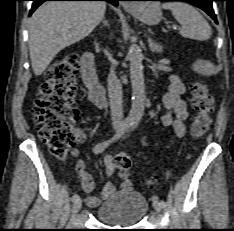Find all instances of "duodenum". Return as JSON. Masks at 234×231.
<instances>
[{"label":"duodenum","instance_id":"1","mask_svg":"<svg viewBox=\"0 0 234 231\" xmlns=\"http://www.w3.org/2000/svg\"><path fill=\"white\" fill-rule=\"evenodd\" d=\"M94 60V55L89 52L83 55L81 74L84 84L90 91L91 100L96 105L103 107L105 105V89L96 74Z\"/></svg>","mask_w":234,"mask_h":231}]
</instances>
